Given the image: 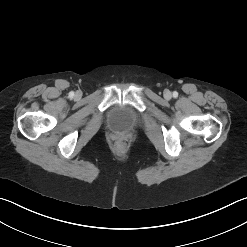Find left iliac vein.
I'll return each instance as SVG.
<instances>
[{
  "label": "left iliac vein",
  "mask_w": 247,
  "mask_h": 247,
  "mask_svg": "<svg viewBox=\"0 0 247 247\" xmlns=\"http://www.w3.org/2000/svg\"><path fill=\"white\" fill-rule=\"evenodd\" d=\"M171 96H172V94H171V92H170L169 90H166V91L164 92V97H165L166 99H170Z\"/></svg>",
  "instance_id": "1"
}]
</instances>
